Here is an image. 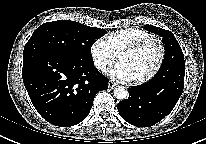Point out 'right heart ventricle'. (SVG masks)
Instances as JSON below:
<instances>
[{
	"label": "right heart ventricle",
	"instance_id": "right-heart-ventricle-1",
	"mask_svg": "<svg viewBox=\"0 0 206 144\" xmlns=\"http://www.w3.org/2000/svg\"><path fill=\"white\" fill-rule=\"evenodd\" d=\"M152 35L140 28L128 27L116 30L105 37L113 52L118 55L126 46L151 38Z\"/></svg>",
	"mask_w": 206,
	"mask_h": 144
}]
</instances>
